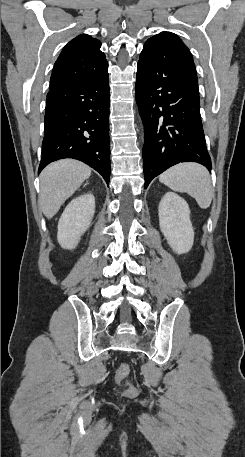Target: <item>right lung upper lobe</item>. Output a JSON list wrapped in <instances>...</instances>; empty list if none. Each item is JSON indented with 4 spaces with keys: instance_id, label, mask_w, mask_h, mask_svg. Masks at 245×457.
<instances>
[{
    "instance_id": "cb5924a9",
    "label": "right lung upper lobe",
    "mask_w": 245,
    "mask_h": 457,
    "mask_svg": "<svg viewBox=\"0 0 245 457\" xmlns=\"http://www.w3.org/2000/svg\"><path fill=\"white\" fill-rule=\"evenodd\" d=\"M101 42L87 34L70 41L55 62L50 79V89L67 82L95 76L108 69L105 54L100 51Z\"/></svg>"
}]
</instances>
